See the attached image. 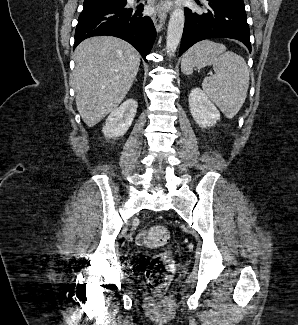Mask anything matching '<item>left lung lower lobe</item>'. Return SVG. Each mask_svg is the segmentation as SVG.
<instances>
[{"instance_id": "0a47b994", "label": "left lung lower lobe", "mask_w": 298, "mask_h": 325, "mask_svg": "<svg viewBox=\"0 0 298 325\" xmlns=\"http://www.w3.org/2000/svg\"><path fill=\"white\" fill-rule=\"evenodd\" d=\"M195 1L199 4L198 0ZM207 1L206 13H193L185 8V25L179 56L198 41L210 38L240 40L251 52L250 30L243 0Z\"/></svg>"}]
</instances>
